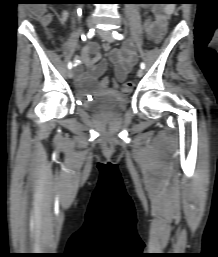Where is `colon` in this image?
I'll use <instances>...</instances> for the list:
<instances>
[{"label": "colon", "mask_w": 218, "mask_h": 257, "mask_svg": "<svg viewBox=\"0 0 218 257\" xmlns=\"http://www.w3.org/2000/svg\"><path fill=\"white\" fill-rule=\"evenodd\" d=\"M32 10H36L37 6L32 5ZM172 21H164V26H160L159 30H157V34H154V39H156V42H160L161 39L165 38V35L168 34V31H171ZM98 86L99 90H118V82L117 79H112L111 76H102V79L98 80ZM133 83L132 82H126L123 85V91L128 93L132 90Z\"/></svg>", "instance_id": "obj_1"}]
</instances>
